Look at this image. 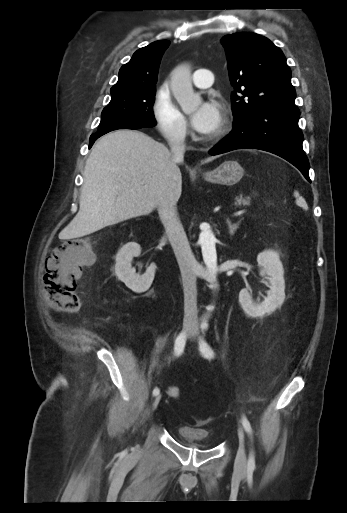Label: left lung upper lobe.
<instances>
[{
  "mask_svg": "<svg viewBox=\"0 0 347 513\" xmlns=\"http://www.w3.org/2000/svg\"><path fill=\"white\" fill-rule=\"evenodd\" d=\"M229 76L238 85L231 94L234 122L271 106L294 107L296 92L281 49L266 37L250 32L226 35Z\"/></svg>",
  "mask_w": 347,
  "mask_h": 513,
  "instance_id": "obj_1",
  "label": "left lung upper lobe"
}]
</instances>
